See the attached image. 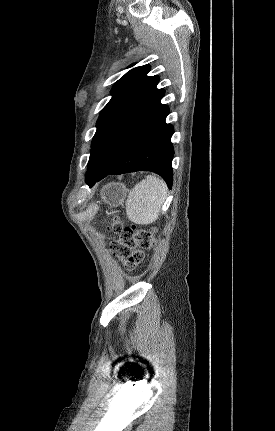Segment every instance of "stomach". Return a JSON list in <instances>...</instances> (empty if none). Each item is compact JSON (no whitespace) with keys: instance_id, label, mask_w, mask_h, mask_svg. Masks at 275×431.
Here are the masks:
<instances>
[{"instance_id":"0dacf381","label":"stomach","mask_w":275,"mask_h":431,"mask_svg":"<svg viewBox=\"0 0 275 431\" xmlns=\"http://www.w3.org/2000/svg\"><path fill=\"white\" fill-rule=\"evenodd\" d=\"M126 187L119 184H109L102 190V197L109 206L120 205L126 194Z\"/></svg>"}]
</instances>
